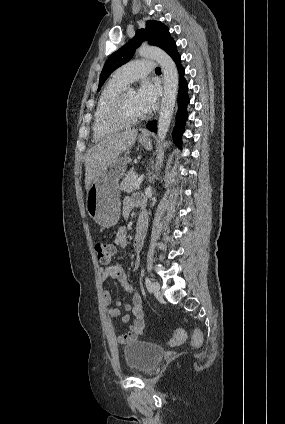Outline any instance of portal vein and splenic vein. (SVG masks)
I'll return each mask as SVG.
<instances>
[{"mask_svg": "<svg viewBox=\"0 0 285 424\" xmlns=\"http://www.w3.org/2000/svg\"><path fill=\"white\" fill-rule=\"evenodd\" d=\"M143 175L142 176H140L137 180H136V182H135V184H134V186H135V188H139V186H140V184L142 183V181H143Z\"/></svg>", "mask_w": 285, "mask_h": 424, "instance_id": "portal-vein-and-splenic-vein-1", "label": "portal vein and splenic vein"}]
</instances>
